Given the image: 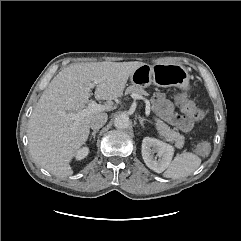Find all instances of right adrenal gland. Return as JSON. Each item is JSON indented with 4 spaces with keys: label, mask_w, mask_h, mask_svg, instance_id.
<instances>
[{
    "label": "right adrenal gland",
    "mask_w": 241,
    "mask_h": 241,
    "mask_svg": "<svg viewBox=\"0 0 241 241\" xmlns=\"http://www.w3.org/2000/svg\"><path fill=\"white\" fill-rule=\"evenodd\" d=\"M99 129L94 130L91 135L89 136V139L91 140V138L93 137L94 141H95V137H96V133H98Z\"/></svg>",
    "instance_id": "right-adrenal-gland-1"
}]
</instances>
